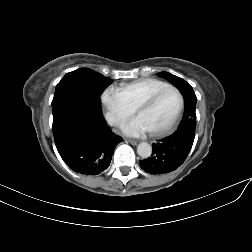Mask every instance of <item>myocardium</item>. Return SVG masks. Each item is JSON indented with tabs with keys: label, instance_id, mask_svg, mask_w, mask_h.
Returning a JSON list of instances; mask_svg holds the SVG:
<instances>
[{
	"label": "myocardium",
	"instance_id": "obj_1",
	"mask_svg": "<svg viewBox=\"0 0 252 252\" xmlns=\"http://www.w3.org/2000/svg\"><path fill=\"white\" fill-rule=\"evenodd\" d=\"M167 91H173L178 95L179 104H178V107H177L176 111L174 112L173 116L171 117V119L169 120V122L165 126H163L160 129H157V130L149 131L150 135H152V136L163 135V134L167 133L169 130H171V128L175 125V123H176V121H177V119L183 109V106H184V97H183L182 93L177 88H175L173 86H168V87H165V88L153 93L152 95L147 97L145 100H143L136 107L135 112H136V114H138V112L140 110L151 106L157 100L158 97H160L163 93H165Z\"/></svg>",
	"mask_w": 252,
	"mask_h": 252
}]
</instances>
